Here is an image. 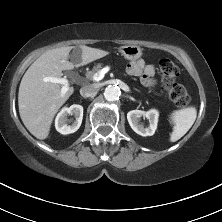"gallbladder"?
<instances>
[{"instance_id": "obj_1", "label": "gallbladder", "mask_w": 222, "mask_h": 222, "mask_svg": "<svg viewBox=\"0 0 222 222\" xmlns=\"http://www.w3.org/2000/svg\"><path fill=\"white\" fill-rule=\"evenodd\" d=\"M80 51H81V49L79 47H75L74 50H73V52H76V53H78ZM74 63H76V61H74Z\"/></svg>"}]
</instances>
